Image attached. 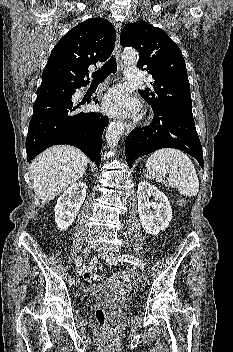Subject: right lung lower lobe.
<instances>
[{"instance_id":"right-lung-lower-lobe-1","label":"right lung lower lobe","mask_w":233,"mask_h":352,"mask_svg":"<svg viewBox=\"0 0 233 352\" xmlns=\"http://www.w3.org/2000/svg\"><path fill=\"white\" fill-rule=\"evenodd\" d=\"M108 123V117L100 113L80 111L71 97L36 101L26 138L27 161L50 146L69 144L81 149L99 167L102 134Z\"/></svg>"}]
</instances>
